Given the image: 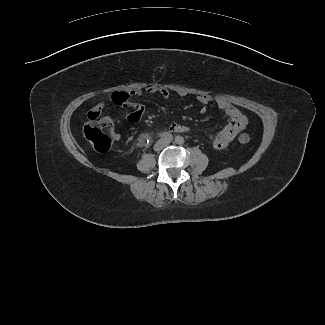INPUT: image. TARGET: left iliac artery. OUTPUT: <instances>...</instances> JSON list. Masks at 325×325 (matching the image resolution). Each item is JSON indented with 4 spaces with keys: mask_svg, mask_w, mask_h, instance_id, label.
Listing matches in <instances>:
<instances>
[{
    "mask_svg": "<svg viewBox=\"0 0 325 325\" xmlns=\"http://www.w3.org/2000/svg\"><path fill=\"white\" fill-rule=\"evenodd\" d=\"M175 141L178 142V143H180L181 142V138L180 137H176Z\"/></svg>",
    "mask_w": 325,
    "mask_h": 325,
    "instance_id": "obj_1",
    "label": "left iliac artery"
}]
</instances>
